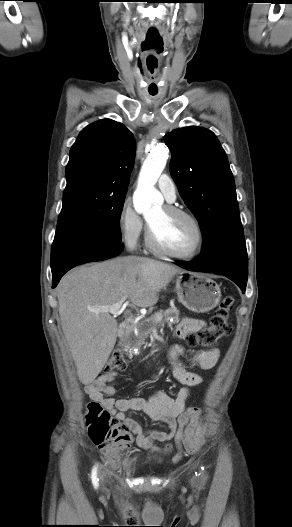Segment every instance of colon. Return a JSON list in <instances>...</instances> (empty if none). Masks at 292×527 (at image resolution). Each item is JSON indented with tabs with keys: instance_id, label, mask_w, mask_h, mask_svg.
I'll list each match as a JSON object with an SVG mask.
<instances>
[{
	"instance_id": "colon-1",
	"label": "colon",
	"mask_w": 292,
	"mask_h": 527,
	"mask_svg": "<svg viewBox=\"0 0 292 527\" xmlns=\"http://www.w3.org/2000/svg\"><path fill=\"white\" fill-rule=\"evenodd\" d=\"M233 298L225 297L210 319L209 326L188 336L190 345L213 348L217 342L228 336L232 327L229 314L233 307ZM128 361L122 353L116 351L105 366V373L123 371ZM86 426L94 445L105 452L120 456L132 443L128 426L117 420L100 401H92L87 406Z\"/></svg>"
}]
</instances>
